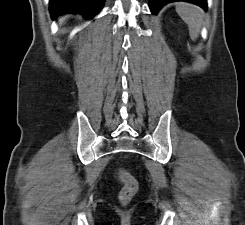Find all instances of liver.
Masks as SVG:
<instances>
[{
  "instance_id": "liver-1",
  "label": "liver",
  "mask_w": 245,
  "mask_h": 225,
  "mask_svg": "<svg viewBox=\"0 0 245 225\" xmlns=\"http://www.w3.org/2000/svg\"><path fill=\"white\" fill-rule=\"evenodd\" d=\"M61 22H64V18H61V20H60Z\"/></svg>"
}]
</instances>
